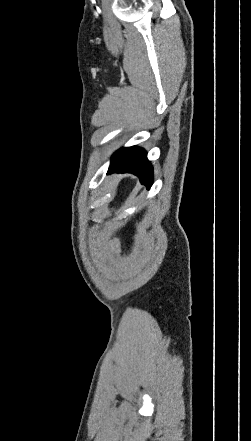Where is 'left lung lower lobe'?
I'll return each instance as SVG.
<instances>
[{
	"label": "left lung lower lobe",
	"mask_w": 251,
	"mask_h": 441,
	"mask_svg": "<svg viewBox=\"0 0 251 441\" xmlns=\"http://www.w3.org/2000/svg\"><path fill=\"white\" fill-rule=\"evenodd\" d=\"M108 172L133 173L147 188H150L153 182V169L147 154L136 146L118 150L111 158Z\"/></svg>",
	"instance_id": "1"
}]
</instances>
